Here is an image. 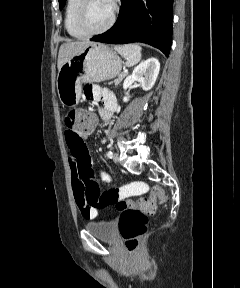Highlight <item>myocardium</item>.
<instances>
[{
  "instance_id": "obj_1",
  "label": "myocardium",
  "mask_w": 240,
  "mask_h": 288,
  "mask_svg": "<svg viewBox=\"0 0 240 288\" xmlns=\"http://www.w3.org/2000/svg\"><path fill=\"white\" fill-rule=\"evenodd\" d=\"M89 1L90 0H81L80 4L78 6L77 13H76L77 27L86 35L101 34L105 31H107L108 29H110L112 27V25L114 24L115 18H116V5L112 4L111 16H110L109 20L107 21V23L99 29L92 30V29L88 28V26L86 25V22H85V15H86V10H87V6H88Z\"/></svg>"
}]
</instances>
